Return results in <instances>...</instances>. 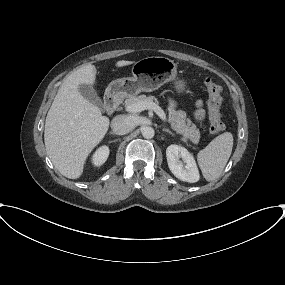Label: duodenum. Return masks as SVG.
I'll return each instance as SVG.
<instances>
[{"label":"duodenum","instance_id":"1","mask_svg":"<svg viewBox=\"0 0 285 285\" xmlns=\"http://www.w3.org/2000/svg\"><path fill=\"white\" fill-rule=\"evenodd\" d=\"M121 102V99L119 95L115 93H109L106 96L105 104H106V109L109 114H112L119 106Z\"/></svg>","mask_w":285,"mask_h":285}]
</instances>
